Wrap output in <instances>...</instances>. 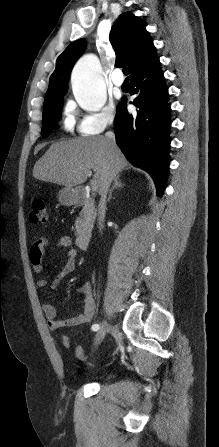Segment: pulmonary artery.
I'll return each mask as SVG.
<instances>
[{
  "instance_id": "obj_1",
  "label": "pulmonary artery",
  "mask_w": 219,
  "mask_h": 447,
  "mask_svg": "<svg viewBox=\"0 0 219 447\" xmlns=\"http://www.w3.org/2000/svg\"><path fill=\"white\" fill-rule=\"evenodd\" d=\"M112 83L116 86V87H121L124 83V78L122 76V72L120 69H115L112 73V77H111Z\"/></svg>"
}]
</instances>
